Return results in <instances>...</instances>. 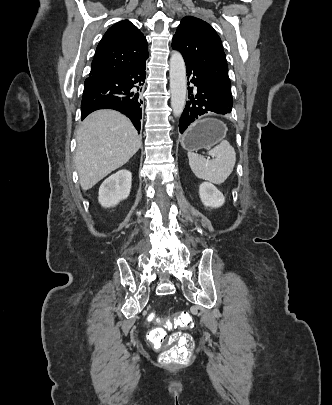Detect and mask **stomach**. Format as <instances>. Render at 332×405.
<instances>
[{
  "instance_id": "obj_1",
  "label": "stomach",
  "mask_w": 332,
  "mask_h": 405,
  "mask_svg": "<svg viewBox=\"0 0 332 405\" xmlns=\"http://www.w3.org/2000/svg\"><path fill=\"white\" fill-rule=\"evenodd\" d=\"M227 132L226 125L217 119L206 118L195 121L181 138L182 147L188 152L210 149L223 141Z\"/></svg>"
}]
</instances>
